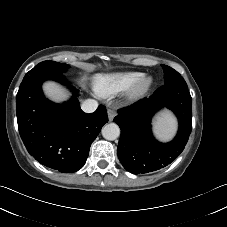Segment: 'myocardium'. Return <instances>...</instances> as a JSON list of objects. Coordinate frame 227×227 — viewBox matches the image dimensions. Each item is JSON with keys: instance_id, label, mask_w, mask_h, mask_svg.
Segmentation results:
<instances>
[{"instance_id": "myocardium-1", "label": "myocardium", "mask_w": 227, "mask_h": 227, "mask_svg": "<svg viewBox=\"0 0 227 227\" xmlns=\"http://www.w3.org/2000/svg\"><path fill=\"white\" fill-rule=\"evenodd\" d=\"M153 84L151 75H143L129 90L128 96L130 99H136L144 95Z\"/></svg>"}]
</instances>
